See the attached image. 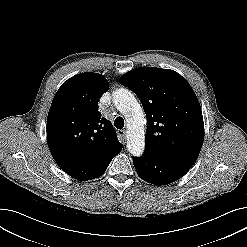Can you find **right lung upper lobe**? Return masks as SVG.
<instances>
[{
	"instance_id": "obj_1",
	"label": "right lung upper lobe",
	"mask_w": 247,
	"mask_h": 247,
	"mask_svg": "<svg viewBox=\"0 0 247 247\" xmlns=\"http://www.w3.org/2000/svg\"><path fill=\"white\" fill-rule=\"evenodd\" d=\"M108 88L107 79L92 72L74 76L59 88L46 129L57 163L88 165L122 148L112 123L98 111V101Z\"/></svg>"
}]
</instances>
